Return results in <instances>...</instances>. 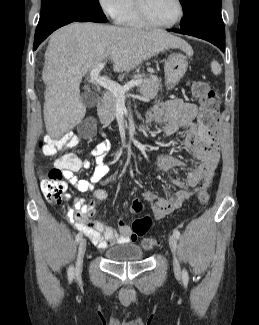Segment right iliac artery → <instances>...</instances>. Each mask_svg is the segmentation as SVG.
<instances>
[{
  "label": "right iliac artery",
  "instance_id": "right-iliac-artery-1",
  "mask_svg": "<svg viewBox=\"0 0 259 325\" xmlns=\"http://www.w3.org/2000/svg\"><path fill=\"white\" fill-rule=\"evenodd\" d=\"M81 239H82V233H78V234L76 235L75 242H76V243H79V242L81 241ZM74 274H75L74 267H73V266H70L69 269H68V278H69L70 280H72L73 277H74Z\"/></svg>",
  "mask_w": 259,
  "mask_h": 325
}]
</instances>
